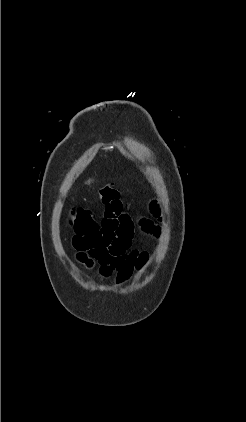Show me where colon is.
Listing matches in <instances>:
<instances>
[{"mask_svg": "<svg viewBox=\"0 0 246 422\" xmlns=\"http://www.w3.org/2000/svg\"><path fill=\"white\" fill-rule=\"evenodd\" d=\"M121 193L118 189L113 187L112 185H108L104 187L100 191L99 200L100 202L107 206H118L120 201ZM73 221L72 225L74 230L78 234L86 233L91 231L93 228L96 227V223L92 218V212L88 208L78 207L72 210ZM147 260V254L142 253L138 256L136 262V268H140L145 261Z\"/></svg>", "mask_w": 246, "mask_h": 422, "instance_id": "5ec220e1", "label": "colon"}]
</instances>
